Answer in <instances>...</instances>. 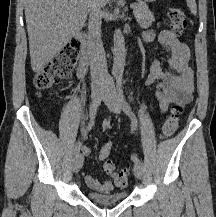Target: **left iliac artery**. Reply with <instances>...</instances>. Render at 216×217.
Returning a JSON list of instances; mask_svg holds the SVG:
<instances>
[{"label":"left iliac artery","mask_w":216,"mask_h":217,"mask_svg":"<svg viewBox=\"0 0 216 217\" xmlns=\"http://www.w3.org/2000/svg\"><path fill=\"white\" fill-rule=\"evenodd\" d=\"M116 88L118 91V97L122 106L123 111L129 116L131 122H132V130L135 131L137 129V119L134 115V113L132 112L129 104L127 103L125 97H124V93H123V89H122V75H118L116 77ZM131 159L133 160V162L135 163H140L139 158L137 157V155H132Z\"/></svg>","instance_id":"left-iliac-artery-1"}]
</instances>
